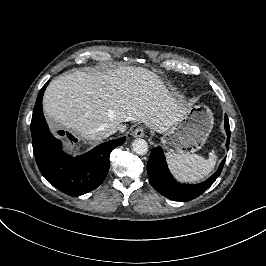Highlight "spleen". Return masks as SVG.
<instances>
[{"label": "spleen", "instance_id": "spleen-1", "mask_svg": "<svg viewBox=\"0 0 266 266\" xmlns=\"http://www.w3.org/2000/svg\"><path fill=\"white\" fill-rule=\"evenodd\" d=\"M169 165L177 178L190 182L199 180L213 169L215 165V155L209 154V159L195 154L168 153Z\"/></svg>", "mask_w": 266, "mask_h": 266}]
</instances>
